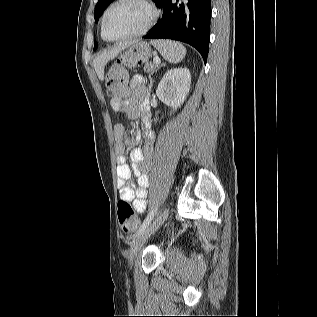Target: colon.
I'll return each instance as SVG.
<instances>
[{
	"label": "colon",
	"mask_w": 317,
	"mask_h": 317,
	"mask_svg": "<svg viewBox=\"0 0 317 317\" xmlns=\"http://www.w3.org/2000/svg\"><path fill=\"white\" fill-rule=\"evenodd\" d=\"M128 72L123 62L111 65L106 74L107 92L112 97H118L127 91ZM118 219L121 228L125 232H133L137 229L139 221L128 201L120 200L117 205Z\"/></svg>",
	"instance_id": "1"
}]
</instances>
